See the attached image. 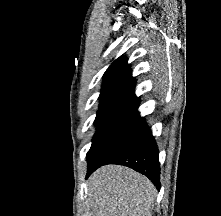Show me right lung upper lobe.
<instances>
[{
	"instance_id": "obj_1",
	"label": "right lung upper lobe",
	"mask_w": 221,
	"mask_h": 216,
	"mask_svg": "<svg viewBox=\"0 0 221 216\" xmlns=\"http://www.w3.org/2000/svg\"><path fill=\"white\" fill-rule=\"evenodd\" d=\"M135 83L127 60L116 59L104 75L95 121L120 115H139L140 100L135 96Z\"/></svg>"
}]
</instances>
